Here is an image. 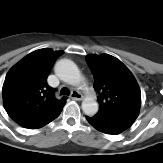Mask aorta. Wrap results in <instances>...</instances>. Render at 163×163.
Wrapping results in <instances>:
<instances>
[{"label":"aorta","mask_w":163,"mask_h":163,"mask_svg":"<svg viewBox=\"0 0 163 163\" xmlns=\"http://www.w3.org/2000/svg\"><path fill=\"white\" fill-rule=\"evenodd\" d=\"M57 76L64 82L77 85L81 81V74L74 62L71 60H60L55 66ZM98 103L93 98H85L82 102V110L88 116H93L98 112Z\"/></svg>","instance_id":"obj_1"}]
</instances>
